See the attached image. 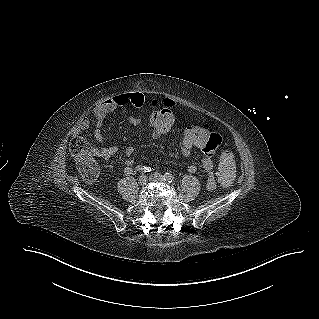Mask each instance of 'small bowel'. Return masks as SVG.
Wrapping results in <instances>:
<instances>
[{"instance_id": "small-bowel-1", "label": "small bowel", "mask_w": 319, "mask_h": 319, "mask_svg": "<svg viewBox=\"0 0 319 319\" xmlns=\"http://www.w3.org/2000/svg\"><path fill=\"white\" fill-rule=\"evenodd\" d=\"M146 103L145 96L140 92H128L120 95H116L109 99H106L99 103L94 109V122H93V137L97 143L102 144L104 142V137L101 131L102 121L104 117L114 111L116 108L126 105H131L135 107H141ZM152 104V112L153 113H173L174 105L172 104L171 99H162L160 102L154 101ZM139 120L137 118H131L129 123L131 125L139 124ZM89 127V120L87 118H83L79 121L77 127H75L71 131V136L73 138H79L82 135V132ZM153 138H158L160 135L154 134L151 132ZM223 136V132L220 129H213L211 131V138L209 141L203 144L202 151L204 152V156L202 158V167L206 172V186L209 189H214L217 186L218 181L223 185L228 186L232 183L233 180L228 181L227 183H223V179L221 175H219V179L216 178L214 173V160L213 155L215 150L218 149L221 139ZM181 143V142H180ZM119 152V148L117 147H108L102 148L97 151L98 156L101 159H108L113 155ZM124 153L127 156L124 159L125 164V172L130 174L132 172V166L134 164V159L132 156L135 153V148L131 145H127L124 148ZM183 156L189 158L191 154H186L182 152ZM188 171L190 173H196L198 171V167L194 164L188 166Z\"/></svg>"}]
</instances>
